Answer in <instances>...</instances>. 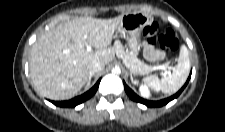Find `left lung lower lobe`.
I'll use <instances>...</instances> for the list:
<instances>
[{
  "instance_id": "1",
  "label": "left lung lower lobe",
  "mask_w": 225,
  "mask_h": 132,
  "mask_svg": "<svg viewBox=\"0 0 225 132\" xmlns=\"http://www.w3.org/2000/svg\"><path fill=\"white\" fill-rule=\"evenodd\" d=\"M191 77V74L187 80V82L185 83V85L173 96L169 97V98H166V99H163V100H160V101H148V100H145V99H142L140 98L138 95H136L124 82V88H125V91L126 93L128 94V96L136 101V102H140L142 104H145L146 106L148 107H161L163 105H166L168 102H170L171 100L177 98L180 93L184 90V88L186 87L189 79Z\"/></svg>"
}]
</instances>
